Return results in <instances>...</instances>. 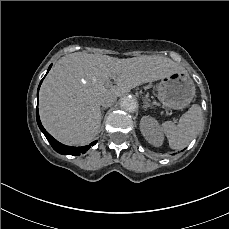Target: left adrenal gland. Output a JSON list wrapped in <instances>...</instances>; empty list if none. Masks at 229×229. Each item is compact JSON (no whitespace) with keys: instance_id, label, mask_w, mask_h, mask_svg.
Segmentation results:
<instances>
[{"instance_id":"1","label":"left adrenal gland","mask_w":229,"mask_h":229,"mask_svg":"<svg viewBox=\"0 0 229 229\" xmlns=\"http://www.w3.org/2000/svg\"><path fill=\"white\" fill-rule=\"evenodd\" d=\"M143 107H144V108H147V105H144Z\"/></svg>"}]
</instances>
